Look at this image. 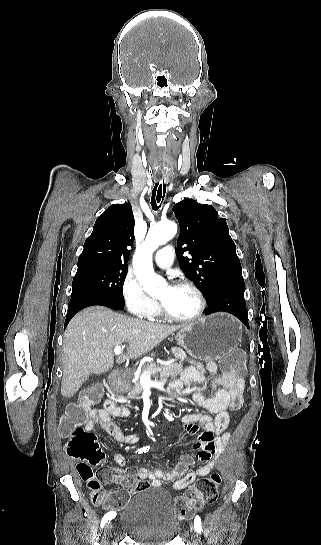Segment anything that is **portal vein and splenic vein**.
<instances>
[{
  "mask_svg": "<svg viewBox=\"0 0 321 545\" xmlns=\"http://www.w3.org/2000/svg\"><path fill=\"white\" fill-rule=\"evenodd\" d=\"M123 349L120 347V345H117L114 349V355H121ZM151 371H158V368H151ZM151 376L152 373H148V371H144L140 377V383L142 387H154L153 383H151Z\"/></svg>",
  "mask_w": 321,
  "mask_h": 545,
  "instance_id": "1",
  "label": "portal vein and splenic vein"
}]
</instances>
